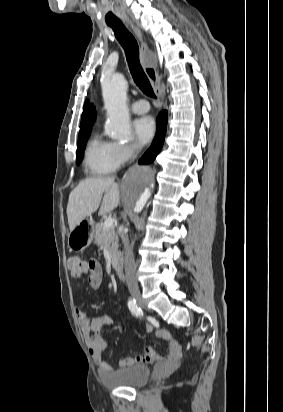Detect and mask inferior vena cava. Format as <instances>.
I'll use <instances>...</instances> for the list:
<instances>
[{
    "instance_id": "1",
    "label": "inferior vena cava",
    "mask_w": 283,
    "mask_h": 412,
    "mask_svg": "<svg viewBox=\"0 0 283 412\" xmlns=\"http://www.w3.org/2000/svg\"><path fill=\"white\" fill-rule=\"evenodd\" d=\"M136 157V154H133L132 159ZM122 239V243L124 245V254H125V275L126 281L128 286H137V279H136V264L134 261L133 252L130 246V241L128 238V234L126 231H122L120 234Z\"/></svg>"
}]
</instances>
